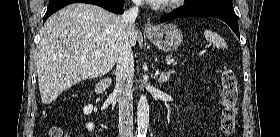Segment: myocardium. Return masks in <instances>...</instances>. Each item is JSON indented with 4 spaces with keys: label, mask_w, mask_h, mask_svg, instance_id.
I'll list each match as a JSON object with an SVG mask.
<instances>
[{
    "label": "myocardium",
    "mask_w": 280,
    "mask_h": 137,
    "mask_svg": "<svg viewBox=\"0 0 280 137\" xmlns=\"http://www.w3.org/2000/svg\"><path fill=\"white\" fill-rule=\"evenodd\" d=\"M180 2H182V1L181 0H170L168 3L163 4L160 7L162 9L171 8V7H174V6L178 5Z\"/></svg>",
    "instance_id": "myocardium-1"
}]
</instances>
